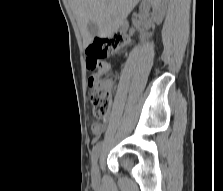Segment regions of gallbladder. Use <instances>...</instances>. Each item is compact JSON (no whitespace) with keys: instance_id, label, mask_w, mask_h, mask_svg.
<instances>
[{"instance_id":"obj_1","label":"gallbladder","mask_w":223,"mask_h":191,"mask_svg":"<svg viewBox=\"0 0 223 191\" xmlns=\"http://www.w3.org/2000/svg\"><path fill=\"white\" fill-rule=\"evenodd\" d=\"M87 28L91 36L98 34V27L94 22H89Z\"/></svg>"}]
</instances>
